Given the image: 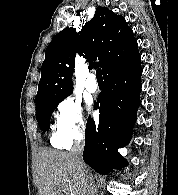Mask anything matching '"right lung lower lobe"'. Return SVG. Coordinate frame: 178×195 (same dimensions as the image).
I'll return each mask as SVG.
<instances>
[{"label": "right lung lower lobe", "instance_id": "1", "mask_svg": "<svg viewBox=\"0 0 178 195\" xmlns=\"http://www.w3.org/2000/svg\"><path fill=\"white\" fill-rule=\"evenodd\" d=\"M141 75L139 60L128 69L104 78L98 103L94 104L100 110L99 121L95 123L88 118L83 152L84 161L100 174L128 165L117 149L125 146L132 136L141 103Z\"/></svg>", "mask_w": 178, "mask_h": 195}]
</instances>
